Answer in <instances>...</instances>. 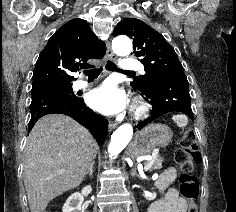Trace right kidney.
<instances>
[{
    "label": "right kidney",
    "instance_id": "1",
    "mask_svg": "<svg viewBox=\"0 0 236 212\" xmlns=\"http://www.w3.org/2000/svg\"><path fill=\"white\" fill-rule=\"evenodd\" d=\"M91 192H92V188L90 185H88L82 189L81 193L79 192L73 193L66 200L62 208V211L63 212H84V209L82 208L84 196H88Z\"/></svg>",
    "mask_w": 236,
    "mask_h": 212
}]
</instances>
